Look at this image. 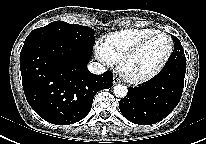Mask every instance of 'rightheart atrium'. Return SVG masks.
Listing matches in <instances>:
<instances>
[{
  "mask_svg": "<svg viewBox=\"0 0 206 144\" xmlns=\"http://www.w3.org/2000/svg\"><path fill=\"white\" fill-rule=\"evenodd\" d=\"M95 52L97 57L104 62L107 65H111L113 62L110 60V58L105 54L101 44H97L95 47Z\"/></svg>",
  "mask_w": 206,
  "mask_h": 144,
  "instance_id": "1",
  "label": "right heart atrium"
}]
</instances>
